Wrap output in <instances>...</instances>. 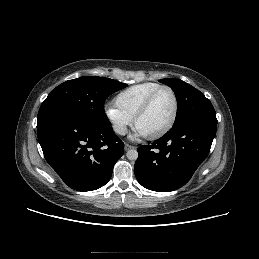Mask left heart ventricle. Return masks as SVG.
<instances>
[{
    "label": "left heart ventricle",
    "instance_id": "b2bd125f",
    "mask_svg": "<svg viewBox=\"0 0 259 259\" xmlns=\"http://www.w3.org/2000/svg\"><path fill=\"white\" fill-rule=\"evenodd\" d=\"M174 100L168 90L160 91L154 98L148 112L137 122L136 128L146 136L163 129L170 121Z\"/></svg>",
    "mask_w": 259,
    "mask_h": 259
}]
</instances>
